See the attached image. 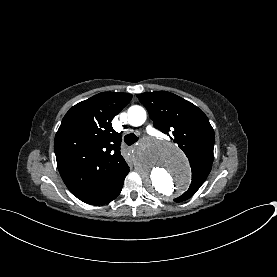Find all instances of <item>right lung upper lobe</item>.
Returning a JSON list of instances; mask_svg holds the SVG:
<instances>
[{
	"label": "right lung upper lobe",
	"instance_id": "obj_1",
	"mask_svg": "<svg viewBox=\"0 0 277 277\" xmlns=\"http://www.w3.org/2000/svg\"><path fill=\"white\" fill-rule=\"evenodd\" d=\"M131 98L127 93H99L73 106L61 122L54 142L58 170L81 201L107 189L127 166L121 135L111 121Z\"/></svg>",
	"mask_w": 277,
	"mask_h": 277
}]
</instances>
